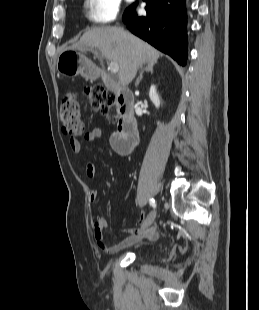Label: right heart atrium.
<instances>
[{
	"label": "right heart atrium",
	"mask_w": 259,
	"mask_h": 310,
	"mask_svg": "<svg viewBox=\"0 0 259 310\" xmlns=\"http://www.w3.org/2000/svg\"><path fill=\"white\" fill-rule=\"evenodd\" d=\"M87 19L96 25H107L117 19L120 0H84Z\"/></svg>",
	"instance_id": "1"
}]
</instances>
